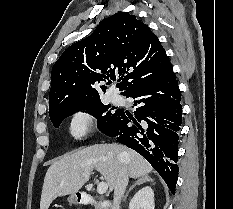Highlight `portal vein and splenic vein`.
I'll return each mask as SVG.
<instances>
[{
    "instance_id": "18ae733b",
    "label": "portal vein and splenic vein",
    "mask_w": 233,
    "mask_h": 209,
    "mask_svg": "<svg viewBox=\"0 0 233 209\" xmlns=\"http://www.w3.org/2000/svg\"><path fill=\"white\" fill-rule=\"evenodd\" d=\"M108 185L106 182H100L97 186V193L100 195H103L107 192Z\"/></svg>"
}]
</instances>
